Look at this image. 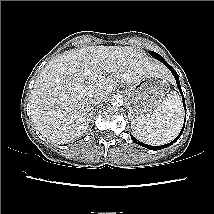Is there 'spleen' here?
Returning a JSON list of instances; mask_svg holds the SVG:
<instances>
[{
	"mask_svg": "<svg viewBox=\"0 0 214 214\" xmlns=\"http://www.w3.org/2000/svg\"><path fill=\"white\" fill-rule=\"evenodd\" d=\"M184 110L179 94L171 91L152 114L132 119L131 128L137 139L150 145L172 141L180 132Z\"/></svg>",
	"mask_w": 214,
	"mask_h": 214,
	"instance_id": "3e777b00",
	"label": "spleen"
}]
</instances>
